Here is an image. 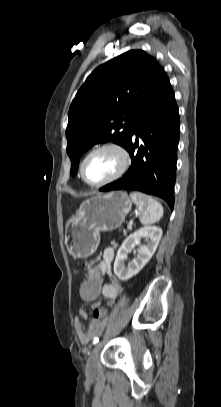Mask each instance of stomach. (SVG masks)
<instances>
[{
	"instance_id": "1",
	"label": "stomach",
	"mask_w": 221,
	"mask_h": 407,
	"mask_svg": "<svg viewBox=\"0 0 221 407\" xmlns=\"http://www.w3.org/2000/svg\"><path fill=\"white\" fill-rule=\"evenodd\" d=\"M132 207L126 192L114 191L82 202L65 228V245L75 258L92 255L100 242V232L121 226Z\"/></svg>"
}]
</instances>
